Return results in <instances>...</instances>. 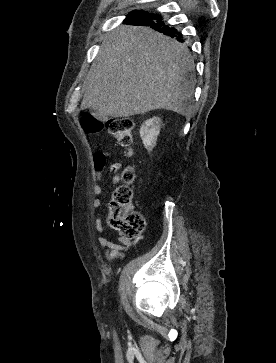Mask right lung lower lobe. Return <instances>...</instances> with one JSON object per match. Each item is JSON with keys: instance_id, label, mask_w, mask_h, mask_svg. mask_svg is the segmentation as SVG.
Returning a JSON list of instances; mask_svg holds the SVG:
<instances>
[{"instance_id": "1", "label": "right lung lower lobe", "mask_w": 276, "mask_h": 363, "mask_svg": "<svg viewBox=\"0 0 276 363\" xmlns=\"http://www.w3.org/2000/svg\"><path fill=\"white\" fill-rule=\"evenodd\" d=\"M124 23L150 26L151 28L158 30L165 35L175 37L180 42L183 41L181 32L175 27L165 24L162 16L158 13L145 12L137 16H128Z\"/></svg>"}]
</instances>
